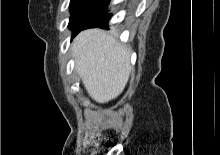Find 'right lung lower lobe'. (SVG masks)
<instances>
[{
	"label": "right lung lower lobe",
	"mask_w": 220,
	"mask_h": 155,
	"mask_svg": "<svg viewBox=\"0 0 220 155\" xmlns=\"http://www.w3.org/2000/svg\"><path fill=\"white\" fill-rule=\"evenodd\" d=\"M110 17H111V14L105 13V14L99 16L98 18L94 19L93 21H91L87 25L75 30L74 34L78 33L79 31H81L83 29H87V28L100 27V28L108 29V21H109Z\"/></svg>",
	"instance_id": "right-lung-lower-lobe-1"
}]
</instances>
